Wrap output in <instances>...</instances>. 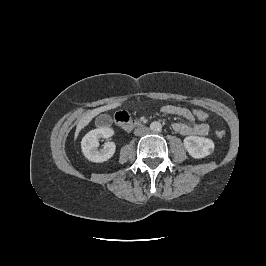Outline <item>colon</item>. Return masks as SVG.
Wrapping results in <instances>:
<instances>
[{
  "label": "colon",
  "mask_w": 266,
  "mask_h": 266,
  "mask_svg": "<svg viewBox=\"0 0 266 266\" xmlns=\"http://www.w3.org/2000/svg\"><path fill=\"white\" fill-rule=\"evenodd\" d=\"M192 114H193L194 118L199 120V121H204L208 118L207 112H205L202 109H193ZM216 136L218 138H223L225 136V131L224 130H217Z\"/></svg>",
  "instance_id": "1"
}]
</instances>
